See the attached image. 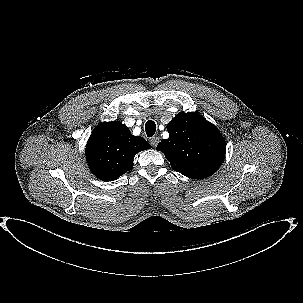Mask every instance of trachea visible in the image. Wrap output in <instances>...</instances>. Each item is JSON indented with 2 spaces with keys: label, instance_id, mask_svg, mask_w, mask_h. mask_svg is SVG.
<instances>
[{
  "label": "trachea",
  "instance_id": "trachea-1",
  "mask_svg": "<svg viewBox=\"0 0 303 303\" xmlns=\"http://www.w3.org/2000/svg\"><path fill=\"white\" fill-rule=\"evenodd\" d=\"M145 131L147 134V137H152L156 132V124L152 120H148L145 124Z\"/></svg>",
  "mask_w": 303,
  "mask_h": 303
}]
</instances>
